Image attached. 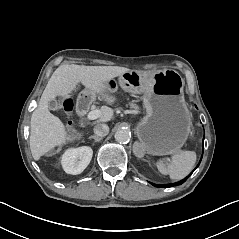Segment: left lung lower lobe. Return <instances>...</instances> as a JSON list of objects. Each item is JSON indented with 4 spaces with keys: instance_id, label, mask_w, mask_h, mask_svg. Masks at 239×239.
I'll use <instances>...</instances> for the list:
<instances>
[{
    "instance_id": "obj_1",
    "label": "left lung lower lobe",
    "mask_w": 239,
    "mask_h": 239,
    "mask_svg": "<svg viewBox=\"0 0 239 239\" xmlns=\"http://www.w3.org/2000/svg\"><path fill=\"white\" fill-rule=\"evenodd\" d=\"M187 179V178H186ZM186 179L180 181L179 183H176V184H167V185H154L156 187H171V186H174V185H179L181 183H183L184 181H186Z\"/></svg>"
}]
</instances>
